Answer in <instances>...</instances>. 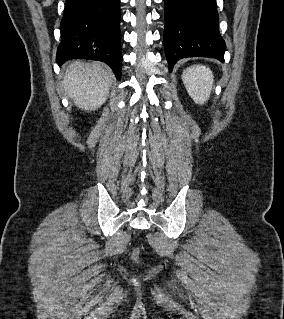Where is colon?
Masks as SVG:
<instances>
[{"label": "colon", "mask_w": 284, "mask_h": 319, "mask_svg": "<svg viewBox=\"0 0 284 319\" xmlns=\"http://www.w3.org/2000/svg\"><path fill=\"white\" fill-rule=\"evenodd\" d=\"M133 258H134V260H137V259H138V251H135V252H134Z\"/></svg>", "instance_id": "colon-1"}]
</instances>
